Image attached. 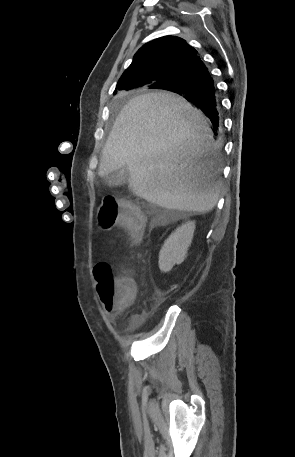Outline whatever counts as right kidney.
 I'll return each instance as SVG.
<instances>
[{
    "label": "right kidney",
    "mask_w": 295,
    "mask_h": 457,
    "mask_svg": "<svg viewBox=\"0 0 295 457\" xmlns=\"http://www.w3.org/2000/svg\"><path fill=\"white\" fill-rule=\"evenodd\" d=\"M194 230L195 222H186L177 228L164 242L159 253V268L161 271H170L175 264H180L184 261L192 242Z\"/></svg>",
    "instance_id": "1"
}]
</instances>
